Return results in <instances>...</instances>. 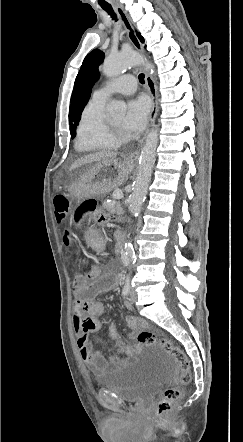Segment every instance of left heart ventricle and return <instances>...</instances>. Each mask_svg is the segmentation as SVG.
Returning <instances> with one entry per match:
<instances>
[{
  "label": "left heart ventricle",
  "instance_id": "b2bd125f",
  "mask_svg": "<svg viewBox=\"0 0 243 442\" xmlns=\"http://www.w3.org/2000/svg\"><path fill=\"white\" fill-rule=\"evenodd\" d=\"M109 121L111 122V124L114 127L123 131V117L122 116L112 118Z\"/></svg>",
  "mask_w": 243,
  "mask_h": 442
}]
</instances>
